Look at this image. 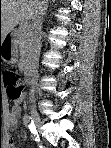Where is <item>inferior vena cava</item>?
<instances>
[{
    "label": "inferior vena cava",
    "instance_id": "obj_1",
    "mask_svg": "<svg viewBox=\"0 0 111 148\" xmlns=\"http://www.w3.org/2000/svg\"><path fill=\"white\" fill-rule=\"evenodd\" d=\"M48 0H42L37 3L36 10L32 15L31 29H30V42H31V57L34 64H37L41 47V29L43 22V15L45 14ZM35 88L32 86L30 90V98H34Z\"/></svg>",
    "mask_w": 111,
    "mask_h": 148
}]
</instances>
